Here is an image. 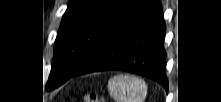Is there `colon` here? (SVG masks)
Segmentation results:
<instances>
[{
    "label": "colon",
    "instance_id": "obj_1",
    "mask_svg": "<svg viewBox=\"0 0 221 102\" xmlns=\"http://www.w3.org/2000/svg\"><path fill=\"white\" fill-rule=\"evenodd\" d=\"M83 102H101L99 97L94 93H87L83 97Z\"/></svg>",
    "mask_w": 221,
    "mask_h": 102
}]
</instances>
